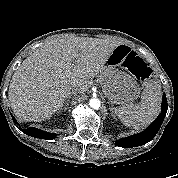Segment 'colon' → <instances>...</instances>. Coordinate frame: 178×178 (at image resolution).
<instances>
[{
    "label": "colon",
    "mask_w": 178,
    "mask_h": 178,
    "mask_svg": "<svg viewBox=\"0 0 178 178\" xmlns=\"http://www.w3.org/2000/svg\"><path fill=\"white\" fill-rule=\"evenodd\" d=\"M130 70L143 83H148L151 80L150 68L142 59H136Z\"/></svg>",
    "instance_id": "5ec220e1"
}]
</instances>
